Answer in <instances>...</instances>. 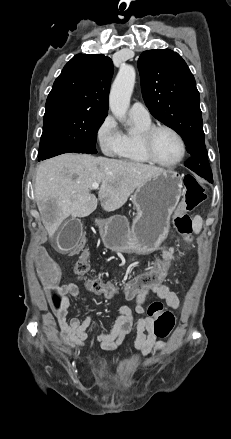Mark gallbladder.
<instances>
[{"mask_svg": "<svg viewBox=\"0 0 231 439\" xmlns=\"http://www.w3.org/2000/svg\"><path fill=\"white\" fill-rule=\"evenodd\" d=\"M82 223L78 218L67 221L59 230L55 246L60 252H67L76 247L79 236L82 235Z\"/></svg>", "mask_w": 231, "mask_h": 439, "instance_id": "gallbladder-1", "label": "gallbladder"}]
</instances>
